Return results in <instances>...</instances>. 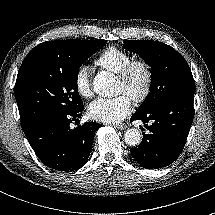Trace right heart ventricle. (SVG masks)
<instances>
[{"label": "right heart ventricle", "mask_w": 215, "mask_h": 215, "mask_svg": "<svg viewBox=\"0 0 215 215\" xmlns=\"http://www.w3.org/2000/svg\"><path fill=\"white\" fill-rule=\"evenodd\" d=\"M131 59H133V55L130 51L121 47L110 46L98 55L94 63L103 70L118 73Z\"/></svg>", "instance_id": "1"}]
</instances>
